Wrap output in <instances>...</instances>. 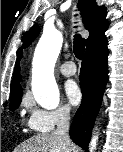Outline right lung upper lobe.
I'll list each match as a JSON object with an SVG mask.
<instances>
[{
  "instance_id": "1",
  "label": "right lung upper lobe",
  "mask_w": 123,
  "mask_h": 152,
  "mask_svg": "<svg viewBox=\"0 0 123 152\" xmlns=\"http://www.w3.org/2000/svg\"><path fill=\"white\" fill-rule=\"evenodd\" d=\"M78 5L79 9L81 10L84 27L89 31V37L86 40V50H89L91 47L106 39L104 33L109 26L106 20V8L104 6H98L96 0H79ZM39 32V26L34 25L29 30L23 42L22 49L28 47L30 43L38 36ZM22 55L23 52L21 51L16 61L14 78L11 82V95L22 90L18 77L20 72L19 61L22 58Z\"/></svg>"
}]
</instances>
